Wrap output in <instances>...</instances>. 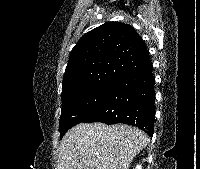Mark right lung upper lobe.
Returning <instances> with one entry per match:
<instances>
[{"instance_id": "obj_1", "label": "right lung upper lobe", "mask_w": 200, "mask_h": 169, "mask_svg": "<svg viewBox=\"0 0 200 169\" xmlns=\"http://www.w3.org/2000/svg\"><path fill=\"white\" fill-rule=\"evenodd\" d=\"M152 66L144 41L135 29L107 22L83 35L70 53L62 100L105 79L118 80Z\"/></svg>"}]
</instances>
